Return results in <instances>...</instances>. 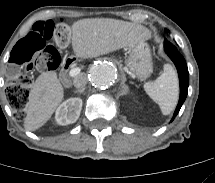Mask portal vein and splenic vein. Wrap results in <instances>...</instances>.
I'll list each match as a JSON object with an SVG mask.
<instances>
[{
    "label": "portal vein and splenic vein",
    "instance_id": "obj_1",
    "mask_svg": "<svg viewBox=\"0 0 215 183\" xmlns=\"http://www.w3.org/2000/svg\"><path fill=\"white\" fill-rule=\"evenodd\" d=\"M81 69L79 67L73 68L69 71V76L70 77H76L77 75H79Z\"/></svg>",
    "mask_w": 215,
    "mask_h": 183
}]
</instances>
